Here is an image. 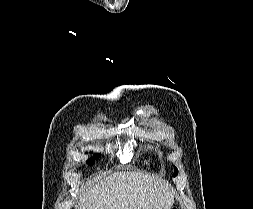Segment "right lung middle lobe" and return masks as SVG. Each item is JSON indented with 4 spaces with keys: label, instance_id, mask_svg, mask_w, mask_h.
I'll return each mask as SVG.
<instances>
[{
    "label": "right lung middle lobe",
    "instance_id": "obj_1",
    "mask_svg": "<svg viewBox=\"0 0 253 209\" xmlns=\"http://www.w3.org/2000/svg\"><path fill=\"white\" fill-rule=\"evenodd\" d=\"M99 157H100V154H96L93 158H90V159L87 161V163H88L89 165H93L94 162H95V159H98Z\"/></svg>",
    "mask_w": 253,
    "mask_h": 209
}]
</instances>
